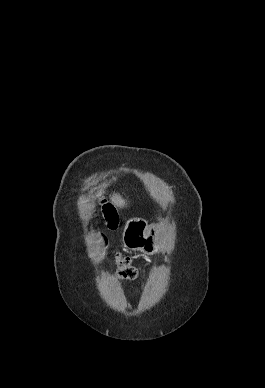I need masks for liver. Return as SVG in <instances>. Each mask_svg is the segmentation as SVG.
<instances>
[{
	"instance_id": "obj_1",
	"label": "liver",
	"mask_w": 265,
	"mask_h": 388,
	"mask_svg": "<svg viewBox=\"0 0 265 388\" xmlns=\"http://www.w3.org/2000/svg\"><path fill=\"white\" fill-rule=\"evenodd\" d=\"M111 202L114 206H117V208H124L125 206V200H122L121 196H117V194L112 196Z\"/></svg>"
}]
</instances>
